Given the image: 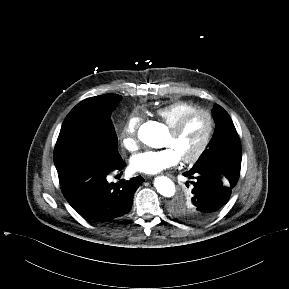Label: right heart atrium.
I'll use <instances>...</instances> for the list:
<instances>
[{
  "instance_id": "obj_1",
  "label": "right heart atrium",
  "mask_w": 289,
  "mask_h": 289,
  "mask_svg": "<svg viewBox=\"0 0 289 289\" xmlns=\"http://www.w3.org/2000/svg\"><path fill=\"white\" fill-rule=\"evenodd\" d=\"M141 123V117L138 114H131L125 121L121 131V144L130 151L134 152L138 149L137 130Z\"/></svg>"
}]
</instances>
